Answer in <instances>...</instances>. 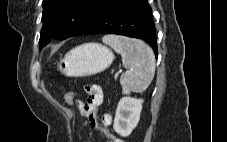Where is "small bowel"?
Returning a JSON list of instances; mask_svg holds the SVG:
<instances>
[{"label": "small bowel", "instance_id": "small-bowel-1", "mask_svg": "<svg viewBox=\"0 0 227 142\" xmlns=\"http://www.w3.org/2000/svg\"><path fill=\"white\" fill-rule=\"evenodd\" d=\"M85 93L89 96L88 101L83 103L78 100L77 105L80 114L86 118L89 124L102 133H104L108 139L107 142H125L123 139L113 135L109 130L108 126L112 123V116L109 112L103 111L98 117L99 106L103 100V93L99 86L89 85L84 88Z\"/></svg>", "mask_w": 227, "mask_h": 142}]
</instances>
